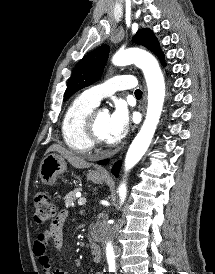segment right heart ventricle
Wrapping results in <instances>:
<instances>
[{
  "mask_svg": "<svg viewBox=\"0 0 215 274\" xmlns=\"http://www.w3.org/2000/svg\"><path fill=\"white\" fill-rule=\"evenodd\" d=\"M96 106L97 104L81 94L75 97L67 107L61 123V133L69 148L88 152L93 147L86 136L84 122L86 116Z\"/></svg>",
  "mask_w": 215,
  "mask_h": 274,
  "instance_id": "1",
  "label": "right heart ventricle"
}]
</instances>
